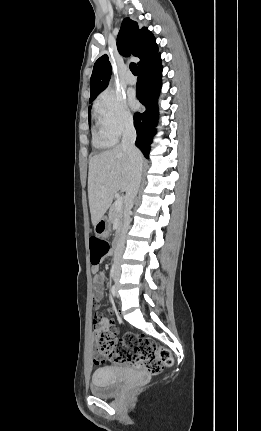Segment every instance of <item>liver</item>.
Masks as SVG:
<instances>
[{
    "label": "liver",
    "instance_id": "liver-1",
    "mask_svg": "<svg viewBox=\"0 0 261 431\" xmlns=\"http://www.w3.org/2000/svg\"><path fill=\"white\" fill-rule=\"evenodd\" d=\"M142 159V154L140 152ZM132 162L122 144L91 157L88 173V199L92 224L104 217L114 195L127 191L132 177Z\"/></svg>",
    "mask_w": 261,
    "mask_h": 431
}]
</instances>
